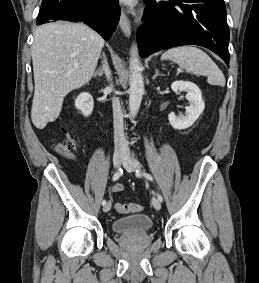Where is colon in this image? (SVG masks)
Here are the masks:
<instances>
[{"label":"colon","mask_w":259,"mask_h":283,"mask_svg":"<svg viewBox=\"0 0 259 283\" xmlns=\"http://www.w3.org/2000/svg\"><path fill=\"white\" fill-rule=\"evenodd\" d=\"M57 151L64 156H71V145L67 140H63L57 144ZM143 207L137 203H122L116 204L117 212L121 214L138 213L141 212Z\"/></svg>","instance_id":"1"}]
</instances>
